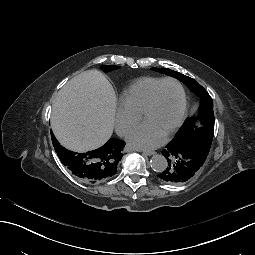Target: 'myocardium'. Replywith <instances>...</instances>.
Wrapping results in <instances>:
<instances>
[{"instance_id": "1", "label": "myocardium", "mask_w": 255, "mask_h": 255, "mask_svg": "<svg viewBox=\"0 0 255 255\" xmlns=\"http://www.w3.org/2000/svg\"><path fill=\"white\" fill-rule=\"evenodd\" d=\"M165 83H174L176 84L181 92V97H182V104H181V109H180V114L178 117L177 122L171 129V131L168 133V135L164 138L165 142L170 141L173 136L176 134V132L179 130V128L182 126L184 118H185V113H186V108H187V97H186V92L183 87V85L175 78H164L160 80L154 87L151 89L149 96L147 98V101L145 102L141 114H140V120L150 111V109L153 106L155 95L159 87Z\"/></svg>"}]
</instances>
